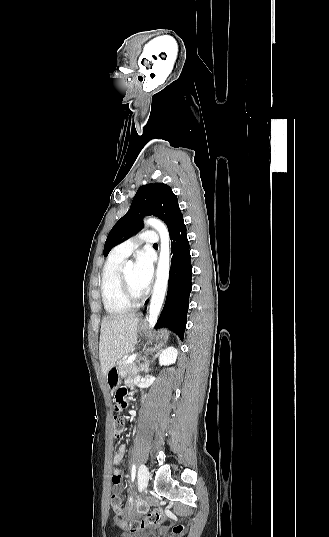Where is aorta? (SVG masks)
Returning <instances> with one entry per match:
<instances>
[{"instance_id": "obj_1", "label": "aorta", "mask_w": 329, "mask_h": 537, "mask_svg": "<svg viewBox=\"0 0 329 537\" xmlns=\"http://www.w3.org/2000/svg\"><path fill=\"white\" fill-rule=\"evenodd\" d=\"M146 223L155 228L160 235V255L156 272V281L150 301L148 322L154 327L161 311L167 292L170 270V238L166 225L156 218H148ZM126 268H132L133 262L127 261Z\"/></svg>"}]
</instances>
